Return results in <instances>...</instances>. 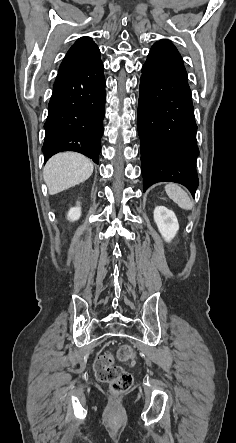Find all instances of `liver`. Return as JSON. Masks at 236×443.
<instances>
[{"label": "liver", "instance_id": "1", "mask_svg": "<svg viewBox=\"0 0 236 443\" xmlns=\"http://www.w3.org/2000/svg\"><path fill=\"white\" fill-rule=\"evenodd\" d=\"M93 163L82 154L63 152L50 158L43 178L50 195H55L86 181L93 173Z\"/></svg>", "mask_w": 236, "mask_h": 443}]
</instances>
